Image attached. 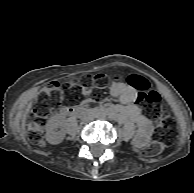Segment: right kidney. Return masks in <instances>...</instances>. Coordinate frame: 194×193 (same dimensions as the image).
<instances>
[{"label":"right kidney","mask_w":194,"mask_h":193,"mask_svg":"<svg viewBox=\"0 0 194 193\" xmlns=\"http://www.w3.org/2000/svg\"><path fill=\"white\" fill-rule=\"evenodd\" d=\"M62 128L63 125L59 116L51 117L46 125V140L50 144L61 143L65 137V131Z\"/></svg>","instance_id":"ca27d5eb"}]
</instances>
